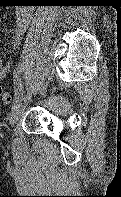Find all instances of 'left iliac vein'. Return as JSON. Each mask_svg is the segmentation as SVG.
I'll list each match as a JSON object with an SVG mask.
<instances>
[{
	"mask_svg": "<svg viewBox=\"0 0 121 197\" xmlns=\"http://www.w3.org/2000/svg\"><path fill=\"white\" fill-rule=\"evenodd\" d=\"M30 99L31 93L28 92L27 94L22 96L19 103L13 108L12 112L9 115V123L12 127H14L17 123Z\"/></svg>",
	"mask_w": 121,
	"mask_h": 197,
	"instance_id": "left-iliac-vein-1",
	"label": "left iliac vein"
}]
</instances>
